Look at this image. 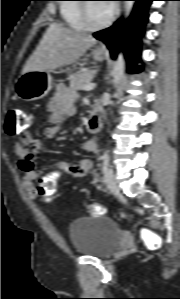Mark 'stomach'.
I'll use <instances>...</instances> for the list:
<instances>
[{"label":"stomach","mask_w":180,"mask_h":299,"mask_svg":"<svg viewBox=\"0 0 180 299\" xmlns=\"http://www.w3.org/2000/svg\"><path fill=\"white\" fill-rule=\"evenodd\" d=\"M95 61L105 58L104 52L99 49L92 51ZM52 88V76L50 71L31 70L22 73L15 83L17 96L24 101H35L45 97Z\"/></svg>","instance_id":"1"}]
</instances>
